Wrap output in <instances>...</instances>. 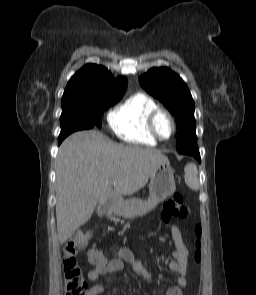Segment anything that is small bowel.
<instances>
[{
    "mask_svg": "<svg viewBox=\"0 0 256 295\" xmlns=\"http://www.w3.org/2000/svg\"><path fill=\"white\" fill-rule=\"evenodd\" d=\"M172 238L175 244V249L171 252L173 260L168 263V268L177 274L176 285L170 287L165 295H182V289L187 285L188 273V258L189 252L187 245L183 239L182 233L177 226L172 227ZM130 263L135 272L141 276L147 283L151 282V278L143 267L140 261L135 260L133 253L127 247L119 248L115 255L108 261H104L94 266L88 273L87 278L92 284L89 295H97L104 290V286L93 284L101 275L111 274L121 271L124 268V263ZM110 281V279H108Z\"/></svg>",
    "mask_w": 256,
    "mask_h": 295,
    "instance_id": "1",
    "label": "small bowel"
}]
</instances>
